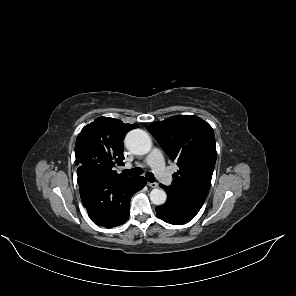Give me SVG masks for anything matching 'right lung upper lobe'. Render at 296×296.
Here are the masks:
<instances>
[{
	"mask_svg": "<svg viewBox=\"0 0 296 296\" xmlns=\"http://www.w3.org/2000/svg\"><path fill=\"white\" fill-rule=\"evenodd\" d=\"M137 124H124L118 119L99 117L85 126L75 145V164L79 169L91 172L95 177L116 181L129 178L112 168L123 165V139ZM90 163V167L87 165Z\"/></svg>",
	"mask_w": 296,
	"mask_h": 296,
	"instance_id": "obj_1",
	"label": "right lung upper lobe"
}]
</instances>
